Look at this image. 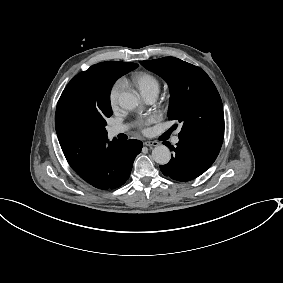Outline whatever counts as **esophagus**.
<instances>
[{"instance_id": "1", "label": "esophagus", "mask_w": 283, "mask_h": 283, "mask_svg": "<svg viewBox=\"0 0 283 283\" xmlns=\"http://www.w3.org/2000/svg\"><path fill=\"white\" fill-rule=\"evenodd\" d=\"M144 145L145 146H158L159 142H157V141H146V142H144Z\"/></svg>"}]
</instances>
